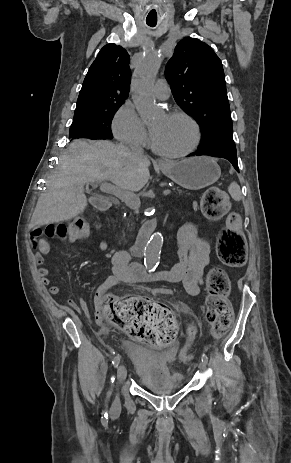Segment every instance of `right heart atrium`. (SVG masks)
Wrapping results in <instances>:
<instances>
[{
	"instance_id": "right-heart-atrium-1",
	"label": "right heart atrium",
	"mask_w": 291,
	"mask_h": 463,
	"mask_svg": "<svg viewBox=\"0 0 291 463\" xmlns=\"http://www.w3.org/2000/svg\"><path fill=\"white\" fill-rule=\"evenodd\" d=\"M112 131L120 142L136 147L148 143L146 127L130 102L124 103L112 120Z\"/></svg>"
}]
</instances>
